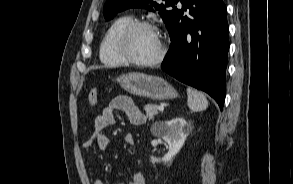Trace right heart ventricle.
I'll return each instance as SVG.
<instances>
[{
  "mask_svg": "<svg viewBox=\"0 0 293 184\" xmlns=\"http://www.w3.org/2000/svg\"><path fill=\"white\" fill-rule=\"evenodd\" d=\"M131 21L130 16H121L115 19L105 32L99 46V57L103 64L117 67L125 63L116 52L115 40L120 30Z\"/></svg>",
  "mask_w": 293,
  "mask_h": 184,
  "instance_id": "obj_1",
  "label": "right heart ventricle"
}]
</instances>
